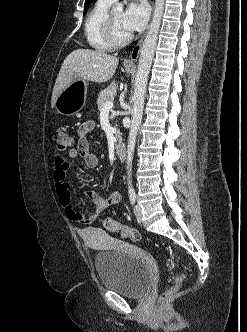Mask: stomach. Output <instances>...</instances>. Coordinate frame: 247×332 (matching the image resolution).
Wrapping results in <instances>:
<instances>
[{
    "label": "stomach",
    "mask_w": 247,
    "mask_h": 332,
    "mask_svg": "<svg viewBox=\"0 0 247 332\" xmlns=\"http://www.w3.org/2000/svg\"><path fill=\"white\" fill-rule=\"evenodd\" d=\"M128 73L132 69L126 68ZM88 83L84 79L74 80L57 97L55 108L61 115L72 116L84 107L87 96Z\"/></svg>",
    "instance_id": "0dacf381"
}]
</instances>
